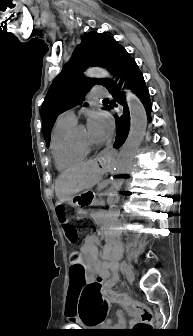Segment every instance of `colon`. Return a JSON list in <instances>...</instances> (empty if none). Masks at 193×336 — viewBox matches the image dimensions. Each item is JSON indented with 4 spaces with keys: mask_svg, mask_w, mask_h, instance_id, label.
<instances>
[{
    "mask_svg": "<svg viewBox=\"0 0 193 336\" xmlns=\"http://www.w3.org/2000/svg\"><path fill=\"white\" fill-rule=\"evenodd\" d=\"M58 217L61 225L64 229L67 240L72 244H77L80 241V235L83 229L91 226L90 221H85L82 225L73 222L74 213L62 206L57 209ZM72 275L75 279V283L79 287L78 293V311L80 317L84 321L91 319L90 307L87 304V300L91 297L100 298L103 294V285L99 281L86 283L83 277V269L81 265L75 264L72 267ZM127 304L139 315L138 323L133 327L132 335L140 336L153 327L154 314L152 310L142 303L127 301Z\"/></svg>",
    "mask_w": 193,
    "mask_h": 336,
    "instance_id": "5ec220e1",
    "label": "colon"
}]
</instances>
